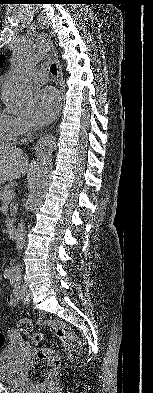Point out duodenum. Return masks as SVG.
<instances>
[{
  "label": "duodenum",
  "mask_w": 153,
  "mask_h": 393,
  "mask_svg": "<svg viewBox=\"0 0 153 393\" xmlns=\"http://www.w3.org/2000/svg\"><path fill=\"white\" fill-rule=\"evenodd\" d=\"M8 233L11 238H16L17 236V227L16 225H11L8 227Z\"/></svg>",
  "instance_id": "1"
}]
</instances>
